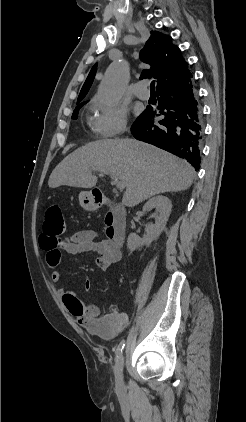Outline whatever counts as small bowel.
Returning a JSON list of instances; mask_svg holds the SVG:
<instances>
[{
    "mask_svg": "<svg viewBox=\"0 0 246 422\" xmlns=\"http://www.w3.org/2000/svg\"><path fill=\"white\" fill-rule=\"evenodd\" d=\"M41 248L46 252L48 266L53 269L51 280L58 283L61 280V272L58 266L61 262L62 252L78 255L84 252L94 251L98 253L95 265L105 271L113 263L121 258V252L111 240L99 239L98 234L89 229L75 232L69 238L60 239L44 231L40 236ZM91 283L87 280L85 290L89 291ZM59 296L67 310L76 318V321L88 332L106 338L116 336L128 325V317L118 309L111 307L107 313H103L98 305L82 303L75 293L58 290Z\"/></svg>",
    "mask_w": 246,
    "mask_h": 422,
    "instance_id": "small-bowel-1",
    "label": "small bowel"
}]
</instances>
